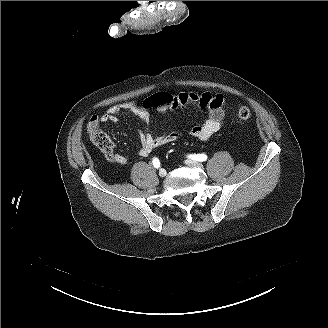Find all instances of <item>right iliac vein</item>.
<instances>
[{
	"label": "right iliac vein",
	"mask_w": 328,
	"mask_h": 328,
	"mask_svg": "<svg viewBox=\"0 0 328 328\" xmlns=\"http://www.w3.org/2000/svg\"><path fill=\"white\" fill-rule=\"evenodd\" d=\"M166 170L165 169H160V171H159V175H160V177H165L166 176Z\"/></svg>",
	"instance_id": "obj_1"
}]
</instances>
